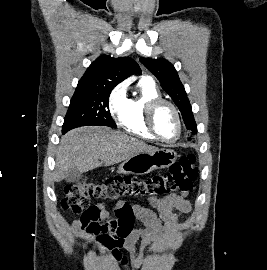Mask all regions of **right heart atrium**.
<instances>
[{
    "label": "right heart atrium",
    "instance_id": "right-heart-atrium-1",
    "mask_svg": "<svg viewBox=\"0 0 267 270\" xmlns=\"http://www.w3.org/2000/svg\"><path fill=\"white\" fill-rule=\"evenodd\" d=\"M127 86L125 82L116 85L108 96V110L113 118H120L127 103Z\"/></svg>",
    "mask_w": 267,
    "mask_h": 270
}]
</instances>
